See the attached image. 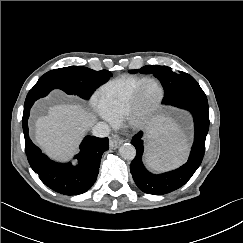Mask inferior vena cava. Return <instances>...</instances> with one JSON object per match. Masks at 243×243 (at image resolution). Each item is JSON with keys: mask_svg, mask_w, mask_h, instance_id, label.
<instances>
[{"mask_svg": "<svg viewBox=\"0 0 243 243\" xmlns=\"http://www.w3.org/2000/svg\"><path fill=\"white\" fill-rule=\"evenodd\" d=\"M92 134L97 137H108L110 128L105 122H98L92 127Z\"/></svg>", "mask_w": 243, "mask_h": 243, "instance_id": "1", "label": "inferior vena cava"}]
</instances>
